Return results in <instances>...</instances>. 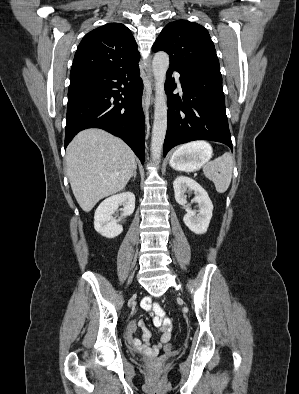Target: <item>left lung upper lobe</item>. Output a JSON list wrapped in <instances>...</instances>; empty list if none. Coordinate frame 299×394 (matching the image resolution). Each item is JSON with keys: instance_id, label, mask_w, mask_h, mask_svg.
<instances>
[{"instance_id": "5c2ea615", "label": "left lung upper lobe", "mask_w": 299, "mask_h": 394, "mask_svg": "<svg viewBox=\"0 0 299 394\" xmlns=\"http://www.w3.org/2000/svg\"><path fill=\"white\" fill-rule=\"evenodd\" d=\"M153 51L170 55V67L179 71L210 70L220 73L219 60L208 31L187 20L170 22L153 45Z\"/></svg>"}]
</instances>
